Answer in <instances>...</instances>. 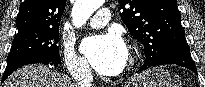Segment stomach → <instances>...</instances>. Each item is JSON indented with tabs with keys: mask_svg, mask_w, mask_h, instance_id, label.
Returning a JSON list of instances; mask_svg holds the SVG:
<instances>
[{
	"mask_svg": "<svg viewBox=\"0 0 205 87\" xmlns=\"http://www.w3.org/2000/svg\"><path fill=\"white\" fill-rule=\"evenodd\" d=\"M181 80L164 68H152L134 76L126 87H181Z\"/></svg>",
	"mask_w": 205,
	"mask_h": 87,
	"instance_id": "stomach-1",
	"label": "stomach"
}]
</instances>
